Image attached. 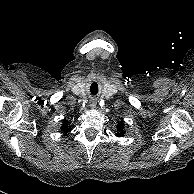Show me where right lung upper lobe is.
<instances>
[{
    "mask_svg": "<svg viewBox=\"0 0 194 194\" xmlns=\"http://www.w3.org/2000/svg\"><path fill=\"white\" fill-rule=\"evenodd\" d=\"M62 131H65L66 133L69 131L68 127H67V123H64L61 127Z\"/></svg>",
    "mask_w": 194,
    "mask_h": 194,
    "instance_id": "right-lung-upper-lobe-1",
    "label": "right lung upper lobe"
}]
</instances>
